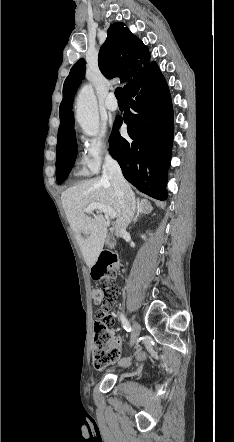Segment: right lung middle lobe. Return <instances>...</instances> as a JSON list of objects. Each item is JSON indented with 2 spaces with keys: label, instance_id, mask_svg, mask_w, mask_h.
I'll list each match as a JSON object with an SVG mask.
<instances>
[{
  "label": "right lung middle lobe",
  "instance_id": "1",
  "mask_svg": "<svg viewBox=\"0 0 234 442\" xmlns=\"http://www.w3.org/2000/svg\"><path fill=\"white\" fill-rule=\"evenodd\" d=\"M56 152V178L58 184H61L70 173L77 156L75 133L65 144L56 148Z\"/></svg>",
  "mask_w": 234,
  "mask_h": 442
}]
</instances>
